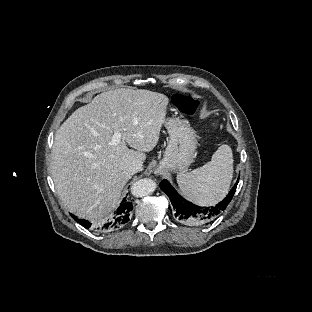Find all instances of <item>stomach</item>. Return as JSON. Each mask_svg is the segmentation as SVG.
<instances>
[{"label": "stomach", "mask_w": 312, "mask_h": 312, "mask_svg": "<svg viewBox=\"0 0 312 312\" xmlns=\"http://www.w3.org/2000/svg\"><path fill=\"white\" fill-rule=\"evenodd\" d=\"M165 125L169 132V140L160 168L168 172H185L195 155L197 138L195 131L185 119L173 117L167 119Z\"/></svg>", "instance_id": "stomach-1"}]
</instances>
